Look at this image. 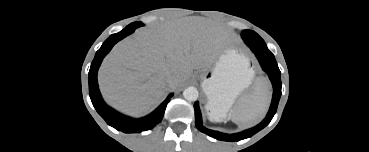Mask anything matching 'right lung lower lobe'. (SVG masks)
Listing matches in <instances>:
<instances>
[{"label":"right lung lower lobe","mask_w":369,"mask_h":152,"mask_svg":"<svg viewBox=\"0 0 369 152\" xmlns=\"http://www.w3.org/2000/svg\"><path fill=\"white\" fill-rule=\"evenodd\" d=\"M136 28L138 27H126L121 32L111 35L97 51L89 71V95L93 106L107 124L125 133H139L155 127L162 120L166 106L170 101V97L173 95L170 94L155 111L140 119H132L124 116L108 107L103 101L97 83L98 68L114 44L134 32Z\"/></svg>","instance_id":"right-lung-lower-lobe-1"}]
</instances>
